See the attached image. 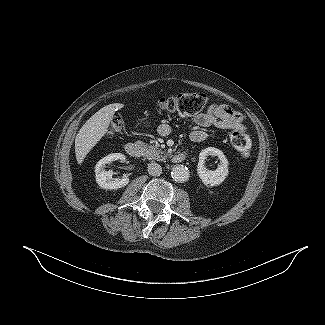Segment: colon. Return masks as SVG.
Segmentation results:
<instances>
[{
	"label": "colon",
	"mask_w": 325,
	"mask_h": 325,
	"mask_svg": "<svg viewBox=\"0 0 325 325\" xmlns=\"http://www.w3.org/2000/svg\"><path fill=\"white\" fill-rule=\"evenodd\" d=\"M207 103L208 97L204 93H180L161 97L158 100V108L164 112L187 117L200 113ZM230 141L243 158L250 156L252 144L245 132L240 129L233 130L230 134Z\"/></svg>",
	"instance_id": "colon-1"
}]
</instances>
